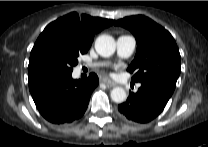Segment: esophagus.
Returning a JSON list of instances; mask_svg holds the SVG:
<instances>
[{
    "mask_svg": "<svg viewBox=\"0 0 208 147\" xmlns=\"http://www.w3.org/2000/svg\"><path fill=\"white\" fill-rule=\"evenodd\" d=\"M102 82L105 83L108 87H115L117 84L109 78H103Z\"/></svg>",
    "mask_w": 208,
    "mask_h": 147,
    "instance_id": "34e87169",
    "label": "esophagus"
}]
</instances>
